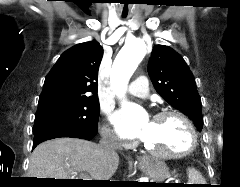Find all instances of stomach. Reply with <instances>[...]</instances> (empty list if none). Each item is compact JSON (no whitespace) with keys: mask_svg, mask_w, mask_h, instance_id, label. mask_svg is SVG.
I'll return each mask as SVG.
<instances>
[{"mask_svg":"<svg viewBox=\"0 0 240 187\" xmlns=\"http://www.w3.org/2000/svg\"><path fill=\"white\" fill-rule=\"evenodd\" d=\"M141 168L156 183H161L170 174L166 163L155 158H148L141 164Z\"/></svg>","mask_w":240,"mask_h":187,"instance_id":"stomach-1","label":"stomach"}]
</instances>
